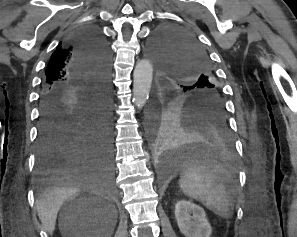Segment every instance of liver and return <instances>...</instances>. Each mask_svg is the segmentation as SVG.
I'll return each mask as SVG.
<instances>
[{"label": "liver", "mask_w": 297, "mask_h": 237, "mask_svg": "<svg viewBox=\"0 0 297 237\" xmlns=\"http://www.w3.org/2000/svg\"><path fill=\"white\" fill-rule=\"evenodd\" d=\"M91 178L87 175L68 174L58 180L57 186L45 192L37 201V214L49 234L55 230L57 214L64 201L77 194Z\"/></svg>", "instance_id": "liver-1"}]
</instances>
